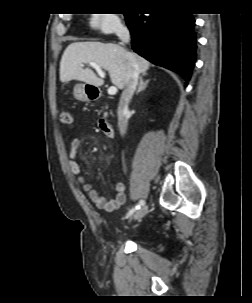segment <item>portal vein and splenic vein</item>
I'll return each mask as SVG.
<instances>
[{"label": "portal vein and splenic vein", "instance_id": "1", "mask_svg": "<svg viewBox=\"0 0 252 303\" xmlns=\"http://www.w3.org/2000/svg\"><path fill=\"white\" fill-rule=\"evenodd\" d=\"M90 66L93 67L101 77L105 76L104 72L102 71L101 67L98 64L91 62ZM116 93H117V87L112 86L108 89L109 95H115Z\"/></svg>", "mask_w": 252, "mask_h": 303}]
</instances>
